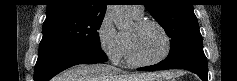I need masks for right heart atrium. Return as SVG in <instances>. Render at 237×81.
Listing matches in <instances>:
<instances>
[{
	"instance_id": "1",
	"label": "right heart atrium",
	"mask_w": 237,
	"mask_h": 81,
	"mask_svg": "<svg viewBox=\"0 0 237 81\" xmlns=\"http://www.w3.org/2000/svg\"><path fill=\"white\" fill-rule=\"evenodd\" d=\"M98 40L101 49L112 62L119 63L122 60L125 51L124 39L108 16H105L100 23Z\"/></svg>"
}]
</instances>
